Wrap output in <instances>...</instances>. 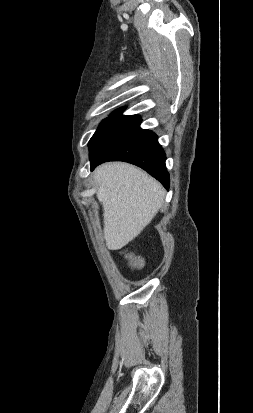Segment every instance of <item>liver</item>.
Listing matches in <instances>:
<instances>
[{"instance_id": "liver-1", "label": "liver", "mask_w": 253, "mask_h": 413, "mask_svg": "<svg viewBox=\"0 0 253 413\" xmlns=\"http://www.w3.org/2000/svg\"><path fill=\"white\" fill-rule=\"evenodd\" d=\"M96 196L103 206L104 239L118 250L135 239L161 208L165 190L140 168L108 162L94 172Z\"/></svg>"}]
</instances>
